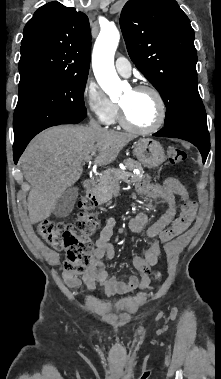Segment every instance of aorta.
Segmentation results:
<instances>
[{
	"mask_svg": "<svg viewBox=\"0 0 221 379\" xmlns=\"http://www.w3.org/2000/svg\"><path fill=\"white\" fill-rule=\"evenodd\" d=\"M120 40V34L113 25L104 27L93 49L92 66L97 82L112 100L121 95V81L114 67V55Z\"/></svg>",
	"mask_w": 221,
	"mask_h": 379,
	"instance_id": "obj_1",
	"label": "aorta"
}]
</instances>
